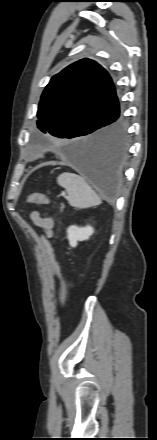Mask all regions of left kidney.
I'll list each match as a JSON object with an SVG mask.
<instances>
[{
	"mask_svg": "<svg viewBox=\"0 0 157 440\" xmlns=\"http://www.w3.org/2000/svg\"><path fill=\"white\" fill-rule=\"evenodd\" d=\"M93 233L94 229L91 226L78 227L72 225L67 229V239L71 247H76L78 241L88 240Z\"/></svg>",
	"mask_w": 157,
	"mask_h": 440,
	"instance_id": "1",
	"label": "left kidney"
}]
</instances>
